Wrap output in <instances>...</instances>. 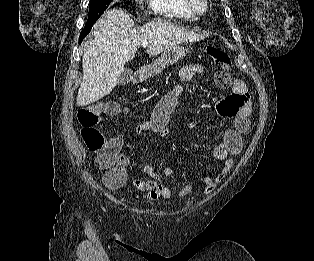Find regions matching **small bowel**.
<instances>
[{"label": "small bowel", "instance_id": "1", "mask_svg": "<svg viewBox=\"0 0 314 261\" xmlns=\"http://www.w3.org/2000/svg\"><path fill=\"white\" fill-rule=\"evenodd\" d=\"M205 70L206 66L199 63L183 66L179 72L178 83L159 100L151 118L137 125L136 133L138 135L154 133L162 138H167L169 133L166 129V124L170 114L175 109L178 97L183 90V85L191 81L195 74L202 73ZM216 111L222 118L233 119V127L227 128L223 132L221 141L211 149L212 155L221 161L222 164L214 176L203 178V191L206 195L212 194L230 172L233 166L232 156L241 152L242 135L250 127L251 99L248 89L241 79L233 78L232 94L217 102ZM122 141V137L116 138L119 148L122 145ZM115 158L118 162L117 170L122 171L124 174L127 173L130 167L135 165V160L126 154L117 152ZM143 171L149 177L148 180L136 178L132 181V185L136 189L144 192L143 198L147 200L172 198V191L161 182V175L156 172L153 164L145 165ZM174 173L175 169L173 167L165 166L162 168L163 176L168 177ZM193 190L194 186L192 184H186L180 189L178 194L184 197L193 192Z\"/></svg>", "mask_w": 314, "mask_h": 261}]
</instances>
